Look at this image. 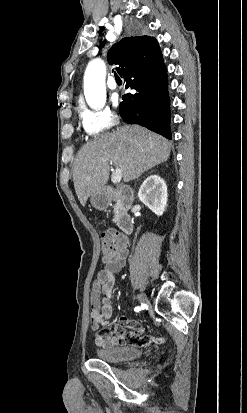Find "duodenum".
<instances>
[{"label": "duodenum", "mask_w": 247, "mask_h": 413, "mask_svg": "<svg viewBox=\"0 0 247 413\" xmlns=\"http://www.w3.org/2000/svg\"><path fill=\"white\" fill-rule=\"evenodd\" d=\"M108 198L115 201L117 224L119 229L125 234L133 232L134 224L128 215V210L133 204V191L128 186L113 187L107 189Z\"/></svg>", "instance_id": "duodenum-1"}]
</instances>
